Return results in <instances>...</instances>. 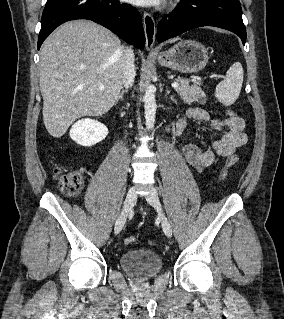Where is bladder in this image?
Listing matches in <instances>:
<instances>
[{
    "label": "bladder",
    "mask_w": 284,
    "mask_h": 319,
    "mask_svg": "<svg viewBox=\"0 0 284 319\" xmlns=\"http://www.w3.org/2000/svg\"><path fill=\"white\" fill-rule=\"evenodd\" d=\"M122 270L133 280L146 281L156 276L163 267L161 257L147 249H131L121 254Z\"/></svg>",
    "instance_id": "1"
}]
</instances>
